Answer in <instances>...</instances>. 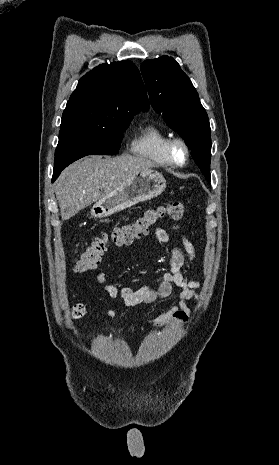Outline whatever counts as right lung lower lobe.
I'll list each match as a JSON object with an SVG mask.
<instances>
[{"instance_id": "1", "label": "right lung lower lobe", "mask_w": 279, "mask_h": 465, "mask_svg": "<svg viewBox=\"0 0 279 465\" xmlns=\"http://www.w3.org/2000/svg\"><path fill=\"white\" fill-rule=\"evenodd\" d=\"M64 168H65V167L54 168L52 182L59 176L60 172H61Z\"/></svg>"}]
</instances>
